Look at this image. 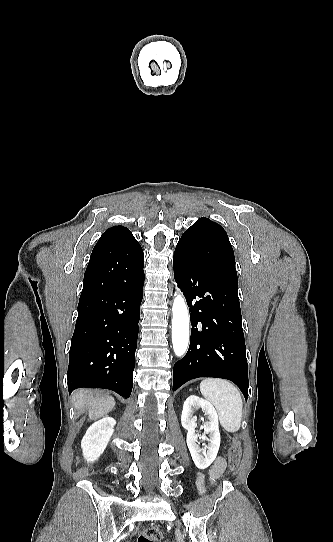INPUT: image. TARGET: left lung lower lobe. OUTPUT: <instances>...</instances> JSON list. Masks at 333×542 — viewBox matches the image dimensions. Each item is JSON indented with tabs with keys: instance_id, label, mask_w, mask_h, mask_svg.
Returning <instances> with one entry per match:
<instances>
[{
	"instance_id": "left-lung-lower-lobe-1",
	"label": "left lung lower lobe",
	"mask_w": 333,
	"mask_h": 542,
	"mask_svg": "<svg viewBox=\"0 0 333 542\" xmlns=\"http://www.w3.org/2000/svg\"><path fill=\"white\" fill-rule=\"evenodd\" d=\"M174 275L191 312V340L175 363L173 391L198 377L234 382L248 397V364L238 298V279L230 272L197 263L176 246Z\"/></svg>"
}]
</instances>
